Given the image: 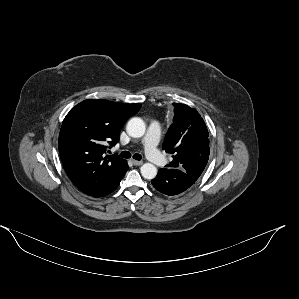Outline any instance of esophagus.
I'll return each mask as SVG.
<instances>
[{
  "label": "esophagus",
  "mask_w": 299,
  "mask_h": 299,
  "mask_svg": "<svg viewBox=\"0 0 299 299\" xmlns=\"http://www.w3.org/2000/svg\"><path fill=\"white\" fill-rule=\"evenodd\" d=\"M132 163H133L135 166H140V165L143 164V161L132 160Z\"/></svg>",
  "instance_id": "esophagus-1"
}]
</instances>
